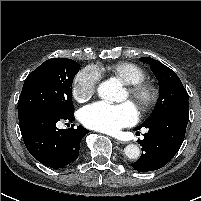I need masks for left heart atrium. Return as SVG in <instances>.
I'll use <instances>...</instances> for the list:
<instances>
[{
	"mask_svg": "<svg viewBox=\"0 0 201 201\" xmlns=\"http://www.w3.org/2000/svg\"><path fill=\"white\" fill-rule=\"evenodd\" d=\"M82 123L93 130L114 134L136 123L138 112L129 101L121 104L96 102L81 110Z\"/></svg>",
	"mask_w": 201,
	"mask_h": 201,
	"instance_id": "1",
	"label": "left heart atrium"
}]
</instances>
